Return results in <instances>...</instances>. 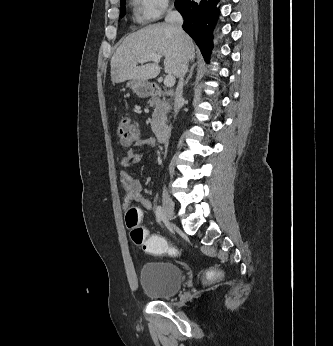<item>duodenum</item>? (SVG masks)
Listing matches in <instances>:
<instances>
[{
  "label": "duodenum",
  "mask_w": 333,
  "mask_h": 346,
  "mask_svg": "<svg viewBox=\"0 0 333 346\" xmlns=\"http://www.w3.org/2000/svg\"><path fill=\"white\" fill-rule=\"evenodd\" d=\"M151 92L154 96H161V95H165V94L168 96L172 95V93L163 92L157 86L152 87ZM170 133H171V126L170 125H163V126L158 127L156 129V138H157L158 142H160V143L166 142L170 136Z\"/></svg>",
  "instance_id": "410a0bca"
}]
</instances>
